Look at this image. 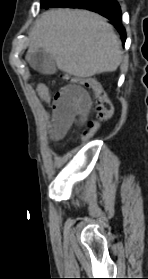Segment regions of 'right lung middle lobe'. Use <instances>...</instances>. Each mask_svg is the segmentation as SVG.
<instances>
[{"label": "right lung middle lobe", "instance_id": "dd1d6c3e", "mask_svg": "<svg viewBox=\"0 0 148 279\" xmlns=\"http://www.w3.org/2000/svg\"><path fill=\"white\" fill-rule=\"evenodd\" d=\"M49 1L50 0H42L41 1V7L45 8Z\"/></svg>", "mask_w": 148, "mask_h": 279}]
</instances>
